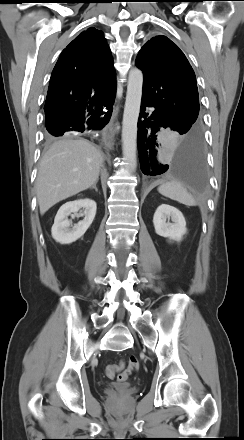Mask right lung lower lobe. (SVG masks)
Instances as JSON below:
<instances>
[{
	"label": "right lung lower lobe",
	"instance_id": "obj_1",
	"mask_svg": "<svg viewBox=\"0 0 244 440\" xmlns=\"http://www.w3.org/2000/svg\"><path fill=\"white\" fill-rule=\"evenodd\" d=\"M115 96H113L105 105L107 112L104 118H100L102 110L95 111L90 118L87 119L85 114H78L71 117L58 118L54 120H46V129L53 136L67 135L68 132H86L88 130L100 129L104 127L111 116Z\"/></svg>",
	"mask_w": 244,
	"mask_h": 440
}]
</instances>
